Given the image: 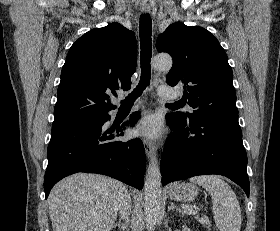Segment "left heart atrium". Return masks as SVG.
Masks as SVG:
<instances>
[{
  "label": "left heart atrium",
  "mask_w": 280,
  "mask_h": 231,
  "mask_svg": "<svg viewBox=\"0 0 280 231\" xmlns=\"http://www.w3.org/2000/svg\"><path fill=\"white\" fill-rule=\"evenodd\" d=\"M134 134L139 137L156 139L160 135V123L155 116H146L139 120L134 128Z\"/></svg>",
  "instance_id": "1"
}]
</instances>
